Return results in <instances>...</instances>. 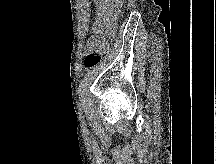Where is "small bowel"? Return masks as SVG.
<instances>
[{"mask_svg":"<svg viewBox=\"0 0 216 164\" xmlns=\"http://www.w3.org/2000/svg\"><path fill=\"white\" fill-rule=\"evenodd\" d=\"M121 0H95L96 18L93 25V35L89 41L88 49L93 46V40H97L112 20L115 9Z\"/></svg>","mask_w":216,"mask_h":164,"instance_id":"c3829d8e","label":"small bowel"}]
</instances>
